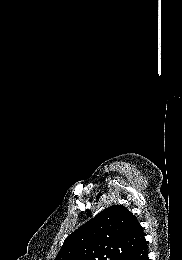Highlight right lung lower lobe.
Wrapping results in <instances>:
<instances>
[{"label": "right lung lower lobe", "instance_id": "98d812e1", "mask_svg": "<svg viewBox=\"0 0 182 260\" xmlns=\"http://www.w3.org/2000/svg\"><path fill=\"white\" fill-rule=\"evenodd\" d=\"M126 260H149L147 243L132 253Z\"/></svg>", "mask_w": 182, "mask_h": 260}]
</instances>
